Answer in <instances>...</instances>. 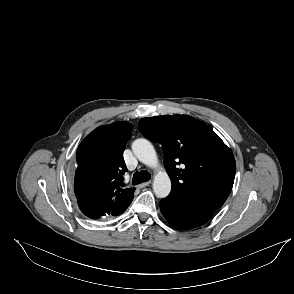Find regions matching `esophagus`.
<instances>
[{
    "label": "esophagus",
    "instance_id": "esophagus-1",
    "mask_svg": "<svg viewBox=\"0 0 294 294\" xmlns=\"http://www.w3.org/2000/svg\"><path fill=\"white\" fill-rule=\"evenodd\" d=\"M150 183H151L150 181H148V182H144V183H142V184H139L137 187H138V188H144V187L148 186Z\"/></svg>",
    "mask_w": 294,
    "mask_h": 294
}]
</instances>
